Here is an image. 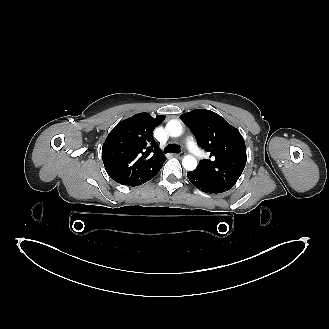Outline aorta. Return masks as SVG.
I'll return each mask as SVG.
<instances>
[{
	"label": "aorta",
	"mask_w": 329,
	"mask_h": 329,
	"mask_svg": "<svg viewBox=\"0 0 329 329\" xmlns=\"http://www.w3.org/2000/svg\"><path fill=\"white\" fill-rule=\"evenodd\" d=\"M166 130L172 137H178L182 133V125L177 120H170L166 125ZM183 167L188 170L192 171L197 167V160L194 156H185L182 160Z\"/></svg>",
	"instance_id": "1"
}]
</instances>
